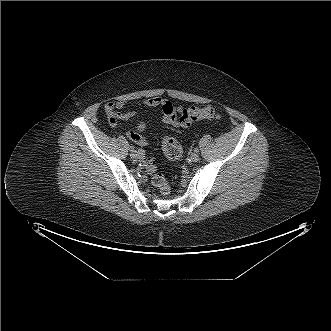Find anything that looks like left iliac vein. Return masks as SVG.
I'll list each match as a JSON object with an SVG mask.
<instances>
[{"label":"left iliac vein","mask_w":331,"mask_h":331,"mask_svg":"<svg viewBox=\"0 0 331 331\" xmlns=\"http://www.w3.org/2000/svg\"><path fill=\"white\" fill-rule=\"evenodd\" d=\"M191 160L194 162H197L199 160V154L198 153H192Z\"/></svg>","instance_id":"1"}]
</instances>
